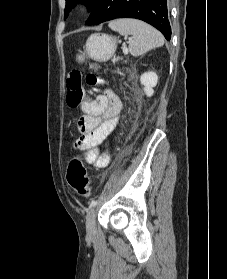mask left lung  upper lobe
<instances>
[{
	"label": "left lung upper lobe",
	"instance_id": "5c2ea615",
	"mask_svg": "<svg viewBox=\"0 0 227 279\" xmlns=\"http://www.w3.org/2000/svg\"><path fill=\"white\" fill-rule=\"evenodd\" d=\"M97 1L98 0H66V7H65V10H64V18H67L70 10L73 7H75V5L77 3L85 4L88 7L89 11H91L94 8Z\"/></svg>",
	"mask_w": 227,
	"mask_h": 279
}]
</instances>
